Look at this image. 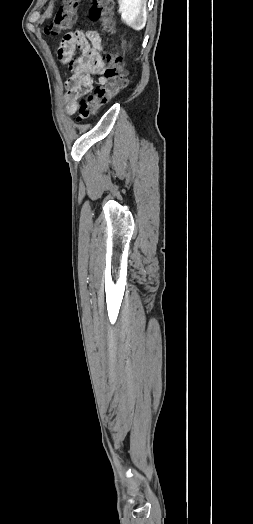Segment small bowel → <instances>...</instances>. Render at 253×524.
<instances>
[{"mask_svg":"<svg viewBox=\"0 0 253 524\" xmlns=\"http://www.w3.org/2000/svg\"><path fill=\"white\" fill-rule=\"evenodd\" d=\"M59 58L69 64L72 76L67 82V98L70 101L86 96L93 88L94 80L105 83L103 61L100 56L101 38L95 31L83 32L71 28L61 38ZM79 48L81 55L73 58V52Z\"/></svg>","mask_w":253,"mask_h":524,"instance_id":"c3829d8e","label":"small bowel"}]
</instances>
